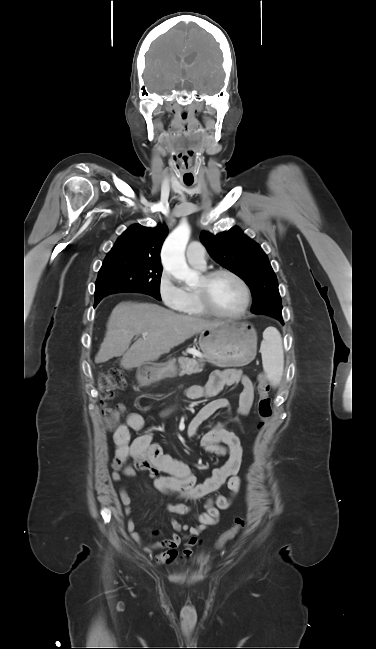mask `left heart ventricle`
<instances>
[{
    "label": "left heart ventricle",
    "mask_w": 376,
    "mask_h": 649,
    "mask_svg": "<svg viewBox=\"0 0 376 649\" xmlns=\"http://www.w3.org/2000/svg\"><path fill=\"white\" fill-rule=\"evenodd\" d=\"M201 283V279L198 285ZM212 304L226 313H235L243 305L244 293L239 283L229 275L215 277L209 286Z\"/></svg>",
    "instance_id": "1"
}]
</instances>
